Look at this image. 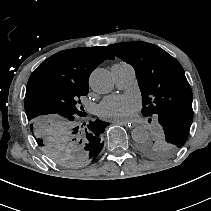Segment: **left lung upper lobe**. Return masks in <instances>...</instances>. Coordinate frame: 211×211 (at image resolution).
Instances as JSON below:
<instances>
[{"label":"left lung upper lobe","instance_id":"obj_1","mask_svg":"<svg viewBox=\"0 0 211 211\" xmlns=\"http://www.w3.org/2000/svg\"><path fill=\"white\" fill-rule=\"evenodd\" d=\"M117 57L133 66L142 92V114L159 133L141 144L143 153L166 157L187 141L193 120L191 87L180 63L160 47L141 41L108 46Z\"/></svg>","mask_w":211,"mask_h":211}]
</instances>
